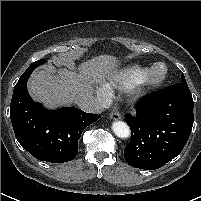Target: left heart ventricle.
I'll list each match as a JSON object with an SVG mask.
<instances>
[{"label": "left heart ventricle", "instance_id": "left-heart-ventricle-1", "mask_svg": "<svg viewBox=\"0 0 201 201\" xmlns=\"http://www.w3.org/2000/svg\"><path fill=\"white\" fill-rule=\"evenodd\" d=\"M164 69L162 66H157L153 72H152V77L156 78L159 77L163 73Z\"/></svg>", "mask_w": 201, "mask_h": 201}]
</instances>
